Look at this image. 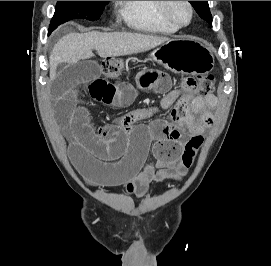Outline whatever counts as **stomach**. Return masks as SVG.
<instances>
[{
  "instance_id": "stomach-1",
  "label": "stomach",
  "mask_w": 271,
  "mask_h": 266,
  "mask_svg": "<svg viewBox=\"0 0 271 266\" xmlns=\"http://www.w3.org/2000/svg\"><path fill=\"white\" fill-rule=\"evenodd\" d=\"M150 58L177 74H206L214 67L212 52L193 38L171 39L155 49Z\"/></svg>"
}]
</instances>
